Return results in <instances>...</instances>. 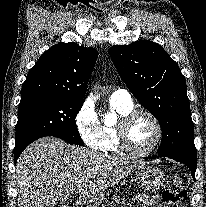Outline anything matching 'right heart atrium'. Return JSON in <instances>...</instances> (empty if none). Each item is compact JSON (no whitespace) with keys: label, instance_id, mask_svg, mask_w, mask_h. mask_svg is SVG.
Listing matches in <instances>:
<instances>
[{"label":"right heart atrium","instance_id":"1","mask_svg":"<svg viewBox=\"0 0 206 207\" xmlns=\"http://www.w3.org/2000/svg\"><path fill=\"white\" fill-rule=\"evenodd\" d=\"M74 122L81 139L88 147L98 150L103 148L102 124L90 100L84 101L78 108Z\"/></svg>","mask_w":206,"mask_h":207}]
</instances>
